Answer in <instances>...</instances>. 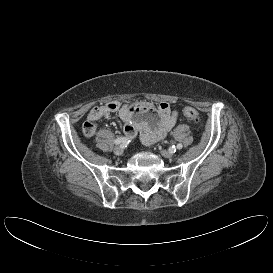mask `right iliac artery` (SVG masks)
<instances>
[{
    "mask_svg": "<svg viewBox=\"0 0 273 273\" xmlns=\"http://www.w3.org/2000/svg\"><path fill=\"white\" fill-rule=\"evenodd\" d=\"M129 142H130L129 138H126V137H118L114 140V143L116 145H118V144L127 145V144H129Z\"/></svg>",
    "mask_w": 273,
    "mask_h": 273,
    "instance_id": "1",
    "label": "right iliac artery"
}]
</instances>
